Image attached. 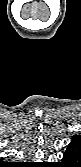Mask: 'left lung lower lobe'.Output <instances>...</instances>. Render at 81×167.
Wrapping results in <instances>:
<instances>
[{"label":"left lung lower lobe","mask_w":81,"mask_h":167,"mask_svg":"<svg viewBox=\"0 0 81 167\" xmlns=\"http://www.w3.org/2000/svg\"><path fill=\"white\" fill-rule=\"evenodd\" d=\"M81 159V140L73 139L68 145L62 159V164H68L69 167L79 166Z\"/></svg>","instance_id":"obj_1"}]
</instances>
